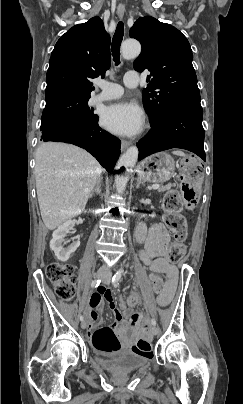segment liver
Returning a JSON list of instances; mask_svg holds the SVG:
<instances>
[{"mask_svg": "<svg viewBox=\"0 0 243 404\" xmlns=\"http://www.w3.org/2000/svg\"><path fill=\"white\" fill-rule=\"evenodd\" d=\"M35 160L42 220L48 230H55L85 210L102 168L85 150L61 142L40 144Z\"/></svg>", "mask_w": 243, "mask_h": 404, "instance_id": "liver-1", "label": "liver"}]
</instances>
